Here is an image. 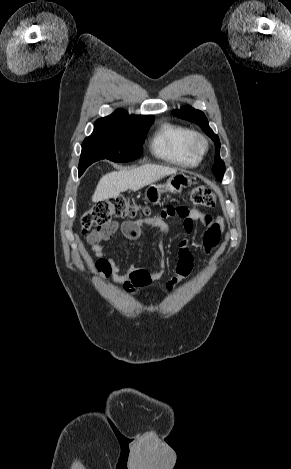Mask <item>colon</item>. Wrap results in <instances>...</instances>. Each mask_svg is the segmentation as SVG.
<instances>
[{
    "mask_svg": "<svg viewBox=\"0 0 291 469\" xmlns=\"http://www.w3.org/2000/svg\"><path fill=\"white\" fill-rule=\"evenodd\" d=\"M189 196L192 203L203 207H214L217 202L214 192L204 186L193 188ZM185 211L186 208L169 207L162 213L174 216L183 214ZM141 212L148 214L149 210L139 205L135 200L123 196L100 201L82 215V232L95 238L101 237L109 233L113 219L133 218ZM98 266L104 265L99 263Z\"/></svg>",
    "mask_w": 291,
    "mask_h": 469,
    "instance_id": "colon-1",
    "label": "colon"
}]
</instances>
